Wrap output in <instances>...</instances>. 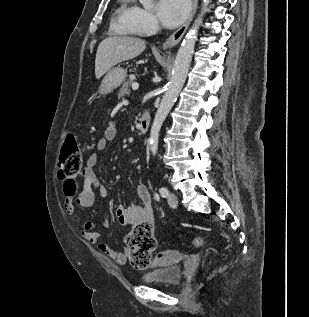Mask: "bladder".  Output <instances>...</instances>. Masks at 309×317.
<instances>
[{"instance_id": "obj_1", "label": "bladder", "mask_w": 309, "mask_h": 317, "mask_svg": "<svg viewBox=\"0 0 309 317\" xmlns=\"http://www.w3.org/2000/svg\"><path fill=\"white\" fill-rule=\"evenodd\" d=\"M182 269L178 265H165L142 275L141 281L146 284L177 286L182 280Z\"/></svg>"}]
</instances>
